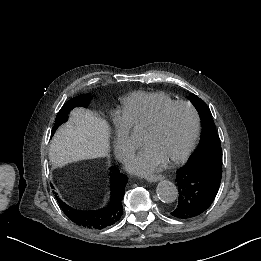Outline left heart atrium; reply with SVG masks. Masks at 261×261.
Masks as SVG:
<instances>
[{"instance_id": "left-heart-atrium-1", "label": "left heart atrium", "mask_w": 261, "mask_h": 261, "mask_svg": "<svg viewBox=\"0 0 261 261\" xmlns=\"http://www.w3.org/2000/svg\"><path fill=\"white\" fill-rule=\"evenodd\" d=\"M162 158L154 148L145 142L134 145V152L128 159L127 168L138 175H148L161 169Z\"/></svg>"}]
</instances>
